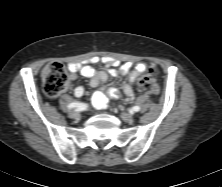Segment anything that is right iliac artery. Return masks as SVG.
Returning a JSON list of instances; mask_svg holds the SVG:
<instances>
[{"label":"right iliac artery","instance_id":"right-iliac-artery-1","mask_svg":"<svg viewBox=\"0 0 222 187\" xmlns=\"http://www.w3.org/2000/svg\"><path fill=\"white\" fill-rule=\"evenodd\" d=\"M87 107H88L87 104L76 102V101L68 105L69 109L78 108V110L80 111L85 110Z\"/></svg>","mask_w":222,"mask_h":187}]
</instances>
